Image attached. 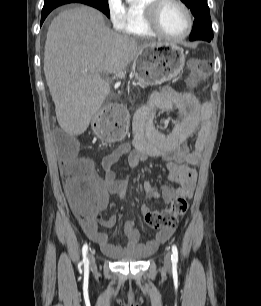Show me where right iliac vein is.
Returning a JSON list of instances; mask_svg holds the SVG:
<instances>
[{"label": "right iliac vein", "mask_w": 261, "mask_h": 306, "mask_svg": "<svg viewBox=\"0 0 261 306\" xmlns=\"http://www.w3.org/2000/svg\"><path fill=\"white\" fill-rule=\"evenodd\" d=\"M89 263H90V269H94L96 266V263H95V256L93 252L89 254Z\"/></svg>", "instance_id": "right-iliac-vein-1"}]
</instances>
